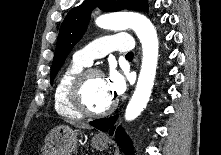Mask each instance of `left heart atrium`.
<instances>
[{
    "label": "left heart atrium",
    "instance_id": "39dd6f15",
    "mask_svg": "<svg viewBox=\"0 0 221 155\" xmlns=\"http://www.w3.org/2000/svg\"><path fill=\"white\" fill-rule=\"evenodd\" d=\"M105 82L107 89L109 90L113 98L121 95L125 91V79L119 72L114 69H112L109 72L108 76L105 77Z\"/></svg>",
    "mask_w": 221,
    "mask_h": 155
}]
</instances>
